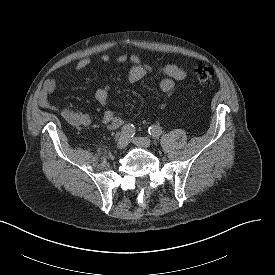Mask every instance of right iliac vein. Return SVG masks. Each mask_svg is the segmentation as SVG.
Masks as SVG:
<instances>
[{"label":"right iliac vein","instance_id":"63e3f726","mask_svg":"<svg viewBox=\"0 0 275 275\" xmlns=\"http://www.w3.org/2000/svg\"><path fill=\"white\" fill-rule=\"evenodd\" d=\"M128 143H129L128 138L126 136H124V135H121L119 137V139L117 140L116 147L118 149H124V148L127 147Z\"/></svg>","mask_w":275,"mask_h":275}]
</instances>
